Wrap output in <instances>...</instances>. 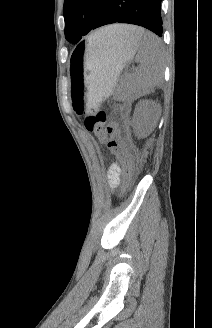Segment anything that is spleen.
<instances>
[{"instance_id":"1","label":"spleen","mask_w":212,"mask_h":328,"mask_svg":"<svg viewBox=\"0 0 212 328\" xmlns=\"http://www.w3.org/2000/svg\"><path fill=\"white\" fill-rule=\"evenodd\" d=\"M132 39H137L138 49L136 61L140 67L132 75L134 87L140 95L151 93L160 86L164 71V52L159 38L151 32L139 28ZM90 45H99L100 39L93 33L89 36Z\"/></svg>"}]
</instances>
